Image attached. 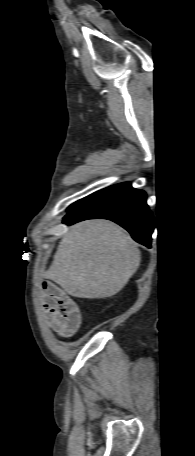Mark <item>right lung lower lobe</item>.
Here are the masks:
<instances>
[{"label": "right lung lower lobe", "instance_id": "obj_1", "mask_svg": "<svg viewBox=\"0 0 195 456\" xmlns=\"http://www.w3.org/2000/svg\"><path fill=\"white\" fill-rule=\"evenodd\" d=\"M109 219L124 227L132 238L151 247L154 218L146 204V194L130 183L107 187L81 205L70 210L64 223L73 224L86 219Z\"/></svg>", "mask_w": 195, "mask_h": 456}]
</instances>
